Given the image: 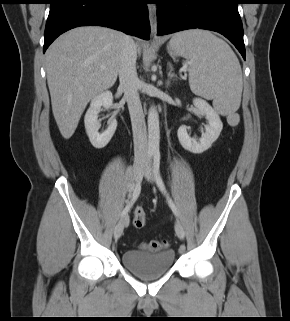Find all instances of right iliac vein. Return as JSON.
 <instances>
[{
  "label": "right iliac vein",
  "mask_w": 290,
  "mask_h": 321,
  "mask_svg": "<svg viewBox=\"0 0 290 321\" xmlns=\"http://www.w3.org/2000/svg\"><path fill=\"white\" fill-rule=\"evenodd\" d=\"M143 166H144V162L142 159H137L135 160L134 162V179L135 180H138L142 170H143ZM128 224V216L127 215H124L122 217V219L117 223V225L115 226V229H114V239L115 240H118L122 233H123V230H124V227Z\"/></svg>",
  "instance_id": "63e3f726"
}]
</instances>
